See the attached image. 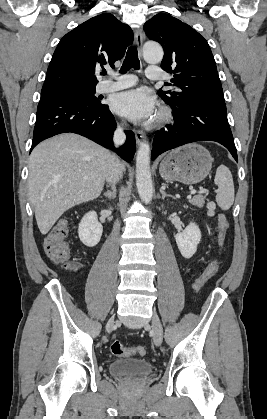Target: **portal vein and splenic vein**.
I'll list each match as a JSON object with an SVG mask.
<instances>
[{
    "label": "portal vein and splenic vein",
    "mask_w": 267,
    "mask_h": 419,
    "mask_svg": "<svg viewBox=\"0 0 267 419\" xmlns=\"http://www.w3.org/2000/svg\"><path fill=\"white\" fill-rule=\"evenodd\" d=\"M197 191L196 190H191L190 191V194L191 195H193V194H195ZM208 191L206 190V189H204V188H200V190L198 191V193H207Z\"/></svg>",
    "instance_id": "portal-vein-and-splenic-vein-1"
}]
</instances>
